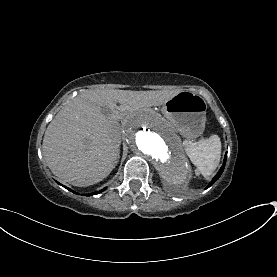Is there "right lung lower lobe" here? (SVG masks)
Segmentation results:
<instances>
[{"label":"right lung lower lobe","mask_w":277,"mask_h":277,"mask_svg":"<svg viewBox=\"0 0 277 277\" xmlns=\"http://www.w3.org/2000/svg\"><path fill=\"white\" fill-rule=\"evenodd\" d=\"M60 184V183H59ZM61 185V184H60ZM63 187H65V186H63ZM66 189H68L69 191H72L71 189H69V188H67V187H65ZM104 190V189H103ZM103 190H100V191H98V192H94V193H91V194H88V196H90V195H95V194H98V193H100L101 191H103ZM73 192V191H72Z\"/></svg>","instance_id":"1"}]
</instances>
